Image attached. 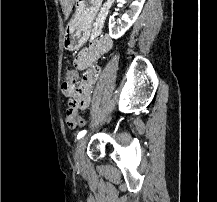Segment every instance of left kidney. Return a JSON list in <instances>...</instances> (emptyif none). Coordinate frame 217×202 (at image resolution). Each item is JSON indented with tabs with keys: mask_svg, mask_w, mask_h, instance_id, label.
Listing matches in <instances>:
<instances>
[{
	"mask_svg": "<svg viewBox=\"0 0 217 202\" xmlns=\"http://www.w3.org/2000/svg\"><path fill=\"white\" fill-rule=\"evenodd\" d=\"M144 2L145 0H134L129 6L130 10H127V12L121 16V20H118V26H116L114 20H109V36H111V38L118 40V38L124 36L125 32H127L132 24H134L135 20H137Z\"/></svg>",
	"mask_w": 217,
	"mask_h": 202,
	"instance_id": "5707ae66",
	"label": "left kidney"
}]
</instances>
